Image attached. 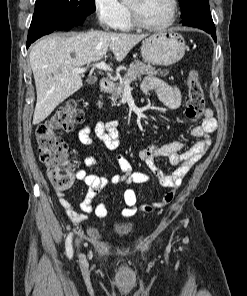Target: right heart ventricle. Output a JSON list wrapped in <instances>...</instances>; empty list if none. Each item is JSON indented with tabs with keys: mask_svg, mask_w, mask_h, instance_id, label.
I'll return each instance as SVG.
<instances>
[{
	"mask_svg": "<svg viewBox=\"0 0 247 296\" xmlns=\"http://www.w3.org/2000/svg\"><path fill=\"white\" fill-rule=\"evenodd\" d=\"M132 22L129 16V12L127 10V15L125 17V19L123 20V22L121 23V25L119 26L120 29L126 31V30H130L132 28Z\"/></svg>",
	"mask_w": 247,
	"mask_h": 296,
	"instance_id": "obj_1",
	"label": "right heart ventricle"
}]
</instances>
